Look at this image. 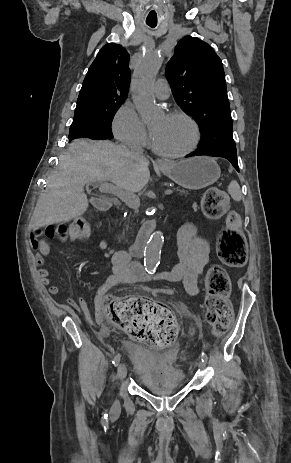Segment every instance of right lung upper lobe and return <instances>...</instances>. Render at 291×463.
I'll return each mask as SVG.
<instances>
[{"instance_id":"right-lung-upper-lobe-1","label":"right lung upper lobe","mask_w":291,"mask_h":463,"mask_svg":"<svg viewBox=\"0 0 291 463\" xmlns=\"http://www.w3.org/2000/svg\"><path fill=\"white\" fill-rule=\"evenodd\" d=\"M129 54L121 45L108 43L91 64L80 90L74 116L126 99L130 84Z\"/></svg>"}]
</instances>
